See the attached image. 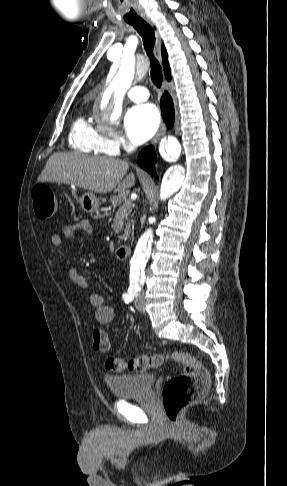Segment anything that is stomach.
Wrapping results in <instances>:
<instances>
[{
	"instance_id": "stomach-1",
	"label": "stomach",
	"mask_w": 287,
	"mask_h": 486,
	"mask_svg": "<svg viewBox=\"0 0 287 486\" xmlns=\"http://www.w3.org/2000/svg\"><path fill=\"white\" fill-rule=\"evenodd\" d=\"M79 203L81 208L88 213L97 211L100 206L99 199L91 191L83 193L79 199Z\"/></svg>"
}]
</instances>
